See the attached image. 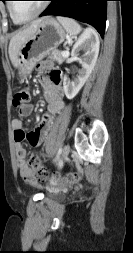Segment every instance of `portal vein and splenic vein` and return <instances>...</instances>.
Segmentation results:
<instances>
[{"instance_id": "portal-vein-and-splenic-vein-1", "label": "portal vein and splenic vein", "mask_w": 133, "mask_h": 253, "mask_svg": "<svg viewBox=\"0 0 133 253\" xmlns=\"http://www.w3.org/2000/svg\"><path fill=\"white\" fill-rule=\"evenodd\" d=\"M62 55L65 56V57H68L69 56V52L68 51H63Z\"/></svg>"}]
</instances>
